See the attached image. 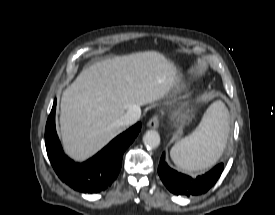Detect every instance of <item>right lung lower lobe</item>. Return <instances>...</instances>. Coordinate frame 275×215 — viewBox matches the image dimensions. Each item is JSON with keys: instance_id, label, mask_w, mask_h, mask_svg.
Listing matches in <instances>:
<instances>
[{"instance_id": "right-lung-lower-lobe-1", "label": "right lung lower lobe", "mask_w": 275, "mask_h": 215, "mask_svg": "<svg viewBox=\"0 0 275 215\" xmlns=\"http://www.w3.org/2000/svg\"><path fill=\"white\" fill-rule=\"evenodd\" d=\"M56 100L45 129V144L49 160L58 177L73 189L85 193L105 190L118 176L124 151L141 129L138 122L113 139L95 156L83 163L68 158L61 147L55 129Z\"/></svg>"}]
</instances>
